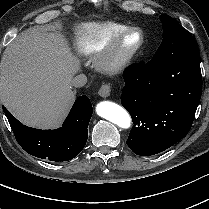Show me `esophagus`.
Masks as SVG:
<instances>
[{"label": "esophagus", "instance_id": "1", "mask_svg": "<svg viewBox=\"0 0 209 209\" xmlns=\"http://www.w3.org/2000/svg\"><path fill=\"white\" fill-rule=\"evenodd\" d=\"M110 92H111L110 84H103L100 87L98 94L103 98H107L110 95Z\"/></svg>", "mask_w": 209, "mask_h": 209}]
</instances>
